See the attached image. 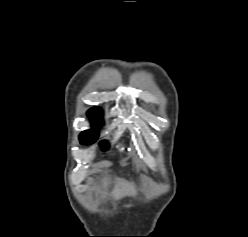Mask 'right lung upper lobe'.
I'll return each mask as SVG.
<instances>
[{
	"label": "right lung upper lobe",
	"mask_w": 248,
	"mask_h": 237,
	"mask_svg": "<svg viewBox=\"0 0 248 237\" xmlns=\"http://www.w3.org/2000/svg\"><path fill=\"white\" fill-rule=\"evenodd\" d=\"M88 115L91 118H99L101 119L102 112L99 108H92L88 111Z\"/></svg>",
	"instance_id": "cb5924a9"
}]
</instances>
